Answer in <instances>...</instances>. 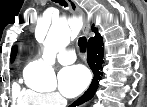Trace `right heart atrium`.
<instances>
[{"instance_id": "1", "label": "right heart atrium", "mask_w": 147, "mask_h": 107, "mask_svg": "<svg viewBox=\"0 0 147 107\" xmlns=\"http://www.w3.org/2000/svg\"><path fill=\"white\" fill-rule=\"evenodd\" d=\"M61 102L59 95L55 92L40 94V103L44 107L56 106Z\"/></svg>"}]
</instances>
